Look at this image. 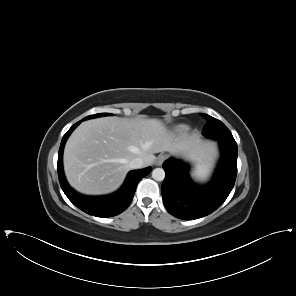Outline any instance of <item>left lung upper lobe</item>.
Here are the masks:
<instances>
[{"label":"left lung upper lobe","instance_id":"obj_1","mask_svg":"<svg viewBox=\"0 0 296 296\" xmlns=\"http://www.w3.org/2000/svg\"><path fill=\"white\" fill-rule=\"evenodd\" d=\"M205 117L207 120V124L203 128V134L205 136L216 139L218 141L234 140L229 129L221 121L209 115H205Z\"/></svg>","mask_w":296,"mask_h":296}]
</instances>
